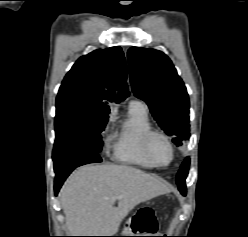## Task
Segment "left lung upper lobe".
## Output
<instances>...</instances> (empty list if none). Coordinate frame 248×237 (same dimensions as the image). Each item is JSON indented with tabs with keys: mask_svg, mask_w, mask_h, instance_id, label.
Here are the masks:
<instances>
[{
	"mask_svg": "<svg viewBox=\"0 0 248 237\" xmlns=\"http://www.w3.org/2000/svg\"><path fill=\"white\" fill-rule=\"evenodd\" d=\"M134 94L144 100L159 126L180 146L190 137L189 98L171 60L161 51L131 47L128 50ZM188 171L178 172L185 183Z\"/></svg>",
	"mask_w": 248,
	"mask_h": 237,
	"instance_id": "left-lung-upper-lobe-1",
	"label": "left lung upper lobe"
}]
</instances>
